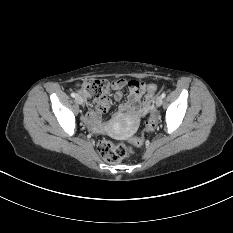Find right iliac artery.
Wrapping results in <instances>:
<instances>
[{
    "label": "right iliac artery",
    "mask_w": 233,
    "mask_h": 233,
    "mask_svg": "<svg viewBox=\"0 0 233 233\" xmlns=\"http://www.w3.org/2000/svg\"><path fill=\"white\" fill-rule=\"evenodd\" d=\"M71 96H72L73 98H75V97H76V94H75L74 92H72V93H71Z\"/></svg>",
    "instance_id": "obj_1"
}]
</instances>
